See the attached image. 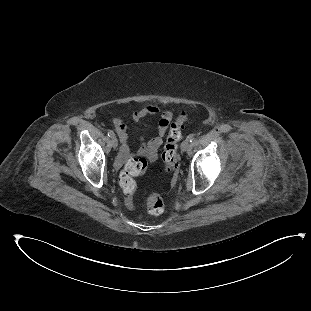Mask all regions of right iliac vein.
I'll return each mask as SVG.
<instances>
[{
	"instance_id": "right-iliac-vein-1",
	"label": "right iliac vein",
	"mask_w": 311,
	"mask_h": 311,
	"mask_svg": "<svg viewBox=\"0 0 311 311\" xmlns=\"http://www.w3.org/2000/svg\"><path fill=\"white\" fill-rule=\"evenodd\" d=\"M110 142H111V145H112L113 148H116L118 146V140H117V138L115 136L111 137Z\"/></svg>"
}]
</instances>
